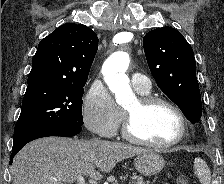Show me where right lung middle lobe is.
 Instances as JSON below:
<instances>
[{
  "label": "right lung middle lobe",
  "instance_id": "obj_1",
  "mask_svg": "<svg viewBox=\"0 0 224 184\" xmlns=\"http://www.w3.org/2000/svg\"><path fill=\"white\" fill-rule=\"evenodd\" d=\"M82 84L41 82L27 86L22 110L15 125L14 138L42 126L83 125Z\"/></svg>",
  "mask_w": 224,
  "mask_h": 184
}]
</instances>
